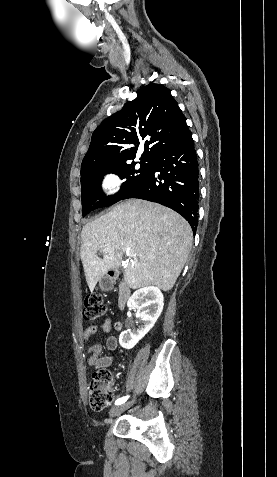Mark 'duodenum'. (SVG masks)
Segmentation results:
<instances>
[{
  "label": "duodenum",
  "mask_w": 277,
  "mask_h": 477,
  "mask_svg": "<svg viewBox=\"0 0 277 477\" xmlns=\"http://www.w3.org/2000/svg\"><path fill=\"white\" fill-rule=\"evenodd\" d=\"M118 275H119L118 270H110L108 272L109 282L110 283L113 282L118 277ZM130 296H131V290L128 284L122 281L118 287V301H117V305L120 310H123L126 307Z\"/></svg>",
  "instance_id": "obj_1"
}]
</instances>
